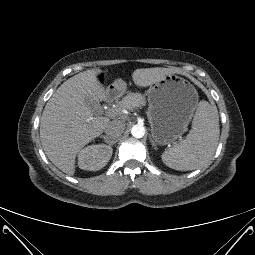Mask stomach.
Returning <instances> with one entry per match:
<instances>
[{"label":"stomach","mask_w":255,"mask_h":255,"mask_svg":"<svg viewBox=\"0 0 255 255\" xmlns=\"http://www.w3.org/2000/svg\"><path fill=\"white\" fill-rule=\"evenodd\" d=\"M110 87L121 91L124 83L117 80ZM147 99L153 144H175L187 130L196 109L198 93L195 87L175 73L168 74L149 88Z\"/></svg>","instance_id":"1"}]
</instances>
